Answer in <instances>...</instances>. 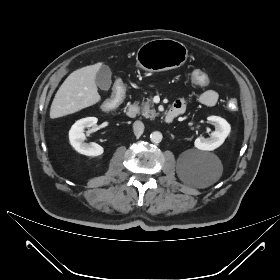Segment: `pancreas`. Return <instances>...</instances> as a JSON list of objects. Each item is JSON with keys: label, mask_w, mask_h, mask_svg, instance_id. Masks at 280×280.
<instances>
[{"label": "pancreas", "mask_w": 280, "mask_h": 280, "mask_svg": "<svg viewBox=\"0 0 280 280\" xmlns=\"http://www.w3.org/2000/svg\"><path fill=\"white\" fill-rule=\"evenodd\" d=\"M153 107L154 104L152 103L151 99H147L146 102H142L140 107L142 115L146 118L154 119L158 113Z\"/></svg>", "instance_id": "obj_1"}]
</instances>
